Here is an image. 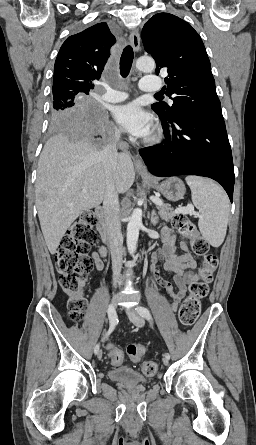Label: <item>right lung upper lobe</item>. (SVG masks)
<instances>
[{
    "mask_svg": "<svg viewBox=\"0 0 256 445\" xmlns=\"http://www.w3.org/2000/svg\"><path fill=\"white\" fill-rule=\"evenodd\" d=\"M116 39L106 23L68 37L54 65L53 94L67 91L88 94L99 80Z\"/></svg>",
    "mask_w": 256,
    "mask_h": 445,
    "instance_id": "right-lung-upper-lobe-1",
    "label": "right lung upper lobe"
}]
</instances>
